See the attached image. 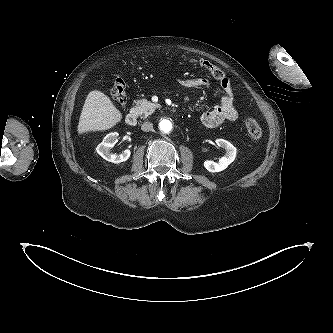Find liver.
Masks as SVG:
<instances>
[{"label": "liver", "instance_id": "6515ba94", "mask_svg": "<svg viewBox=\"0 0 333 333\" xmlns=\"http://www.w3.org/2000/svg\"><path fill=\"white\" fill-rule=\"evenodd\" d=\"M121 119V112L110 98L101 91L93 90L86 97L77 131L79 134H83L89 131L108 130Z\"/></svg>", "mask_w": 333, "mask_h": 333}]
</instances>
